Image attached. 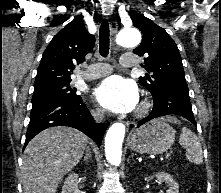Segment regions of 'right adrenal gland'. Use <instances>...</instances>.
<instances>
[{
    "label": "right adrenal gland",
    "instance_id": "right-adrenal-gland-1",
    "mask_svg": "<svg viewBox=\"0 0 221 193\" xmlns=\"http://www.w3.org/2000/svg\"><path fill=\"white\" fill-rule=\"evenodd\" d=\"M91 159H92V155L90 153V149H89V147H86V155L83 158V162L88 163L89 160H91Z\"/></svg>",
    "mask_w": 221,
    "mask_h": 193
}]
</instances>
